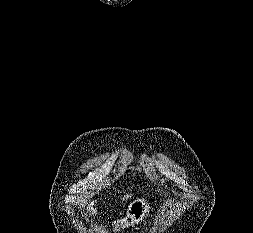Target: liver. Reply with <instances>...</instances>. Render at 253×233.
<instances>
[{
  "label": "liver",
  "instance_id": "obj_1",
  "mask_svg": "<svg viewBox=\"0 0 253 233\" xmlns=\"http://www.w3.org/2000/svg\"><path fill=\"white\" fill-rule=\"evenodd\" d=\"M131 195H126L123 200L128 199ZM89 211H92V213H96V210L92 208L91 204L87 207Z\"/></svg>",
  "mask_w": 253,
  "mask_h": 233
}]
</instances>
